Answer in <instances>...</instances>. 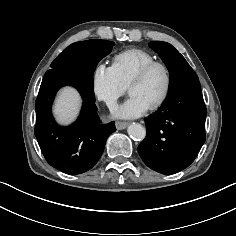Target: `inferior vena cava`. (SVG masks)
<instances>
[{"label":"inferior vena cava","mask_w":236,"mask_h":236,"mask_svg":"<svg viewBox=\"0 0 236 236\" xmlns=\"http://www.w3.org/2000/svg\"><path fill=\"white\" fill-rule=\"evenodd\" d=\"M108 108L111 112H115L118 109V104L116 102H109Z\"/></svg>","instance_id":"1"}]
</instances>
